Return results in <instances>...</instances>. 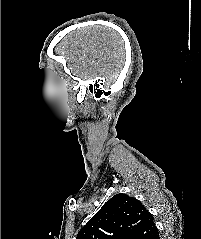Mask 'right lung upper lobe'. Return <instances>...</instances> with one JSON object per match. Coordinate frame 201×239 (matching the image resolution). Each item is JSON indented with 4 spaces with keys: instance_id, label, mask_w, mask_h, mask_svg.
I'll return each mask as SVG.
<instances>
[{
    "instance_id": "1",
    "label": "right lung upper lobe",
    "mask_w": 201,
    "mask_h": 239,
    "mask_svg": "<svg viewBox=\"0 0 201 239\" xmlns=\"http://www.w3.org/2000/svg\"><path fill=\"white\" fill-rule=\"evenodd\" d=\"M150 212L126 194H116L79 231L76 239H157Z\"/></svg>"
}]
</instances>
